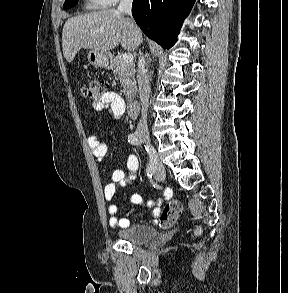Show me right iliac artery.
Instances as JSON below:
<instances>
[{
    "instance_id": "82829eb1",
    "label": "right iliac artery",
    "mask_w": 288,
    "mask_h": 293,
    "mask_svg": "<svg viewBox=\"0 0 288 293\" xmlns=\"http://www.w3.org/2000/svg\"><path fill=\"white\" fill-rule=\"evenodd\" d=\"M128 142L133 145H139V139L135 134H129L128 136ZM147 152L149 153V165L146 169L147 174H150V170H158L159 164H161V159H159V156H156V150L155 147H148L146 148Z\"/></svg>"
}]
</instances>
